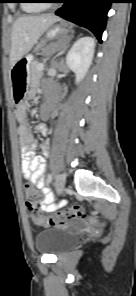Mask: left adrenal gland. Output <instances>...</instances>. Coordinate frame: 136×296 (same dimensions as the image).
I'll return each instance as SVG.
<instances>
[{
    "label": "left adrenal gland",
    "instance_id": "left-adrenal-gland-1",
    "mask_svg": "<svg viewBox=\"0 0 136 296\" xmlns=\"http://www.w3.org/2000/svg\"><path fill=\"white\" fill-rule=\"evenodd\" d=\"M62 48H63V49H62V50L60 51V53H59L60 55L63 54V53L65 52L67 46H64V47H62Z\"/></svg>",
    "mask_w": 136,
    "mask_h": 296
}]
</instances>
